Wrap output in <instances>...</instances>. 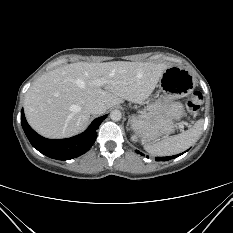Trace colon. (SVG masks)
<instances>
[{
	"instance_id": "5ec220e1",
	"label": "colon",
	"mask_w": 233,
	"mask_h": 233,
	"mask_svg": "<svg viewBox=\"0 0 233 233\" xmlns=\"http://www.w3.org/2000/svg\"><path fill=\"white\" fill-rule=\"evenodd\" d=\"M203 102V96L200 92H193L187 99V107L192 114H196Z\"/></svg>"
}]
</instances>
